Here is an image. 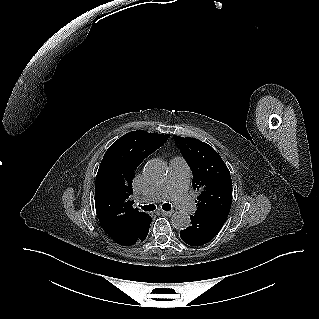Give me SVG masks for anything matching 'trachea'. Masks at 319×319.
<instances>
[{
    "instance_id": "3493384b",
    "label": "trachea",
    "mask_w": 319,
    "mask_h": 319,
    "mask_svg": "<svg viewBox=\"0 0 319 319\" xmlns=\"http://www.w3.org/2000/svg\"><path fill=\"white\" fill-rule=\"evenodd\" d=\"M141 208H142L144 211H149V212L156 209L155 205H153V204L144 205V206H141ZM162 208H163V210L169 211V210H171V205L168 204V203H164V204L162 205Z\"/></svg>"
}]
</instances>
